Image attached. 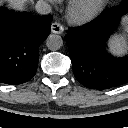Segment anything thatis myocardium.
<instances>
[{
  "label": "myocardium",
  "mask_w": 128,
  "mask_h": 128,
  "mask_svg": "<svg viewBox=\"0 0 128 128\" xmlns=\"http://www.w3.org/2000/svg\"><path fill=\"white\" fill-rule=\"evenodd\" d=\"M107 0H71L67 12L76 23H86L95 18L104 8Z\"/></svg>",
  "instance_id": "obj_1"
}]
</instances>
